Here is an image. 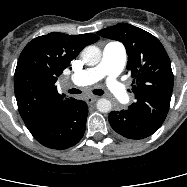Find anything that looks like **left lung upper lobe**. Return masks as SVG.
Returning a JSON list of instances; mask_svg holds the SVG:
<instances>
[{
    "instance_id": "obj_1",
    "label": "left lung upper lobe",
    "mask_w": 187,
    "mask_h": 187,
    "mask_svg": "<svg viewBox=\"0 0 187 187\" xmlns=\"http://www.w3.org/2000/svg\"><path fill=\"white\" fill-rule=\"evenodd\" d=\"M124 44L127 69L133 78L136 102L129 111L161 126L167 116L173 90L169 57L161 42L147 31L127 23H118L97 32Z\"/></svg>"
}]
</instances>
